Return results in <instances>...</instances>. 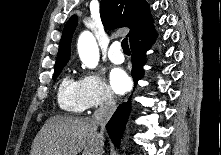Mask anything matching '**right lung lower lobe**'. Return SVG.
I'll use <instances>...</instances> for the list:
<instances>
[{
	"label": "right lung lower lobe",
	"instance_id": "98d812e1",
	"mask_svg": "<svg viewBox=\"0 0 221 155\" xmlns=\"http://www.w3.org/2000/svg\"><path fill=\"white\" fill-rule=\"evenodd\" d=\"M156 32L153 26H150L130 43L132 51V77L134 83L143 77L144 71L143 66L145 64V53L150 49L152 43L156 39ZM130 98L127 103L119 105L111 119L106 125L107 132L112 140V142L119 147L120 140L122 138V133L124 132V127L127 122L130 113Z\"/></svg>",
	"mask_w": 221,
	"mask_h": 155
}]
</instances>
